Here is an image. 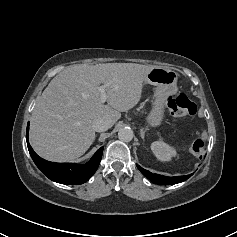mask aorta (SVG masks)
<instances>
[{
    "label": "aorta",
    "mask_w": 237,
    "mask_h": 237,
    "mask_svg": "<svg viewBox=\"0 0 237 237\" xmlns=\"http://www.w3.org/2000/svg\"><path fill=\"white\" fill-rule=\"evenodd\" d=\"M133 131L129 127L121 128L118 132V138L123 142H130L133 139Z\"/></svg>",
    "instance_id": "1"
}]
</instances>
